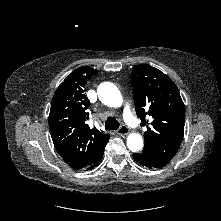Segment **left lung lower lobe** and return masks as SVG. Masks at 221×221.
<instances>
[{
	"label": "left lung lower lobe",
	"mask_w": 221,
	"mask_h": 221,
	"mask_svg": "<svg viewBox=\"0 0 221 221\" xmlns=\"http://www.w3.org/2000/svg\"><path fill=\"white\" fill-rule=\"evenodd\" d=\"M133 159L138 162L140 165L148 167V168H161L164 166L158 165L154 161H152L149 157L144 155L143 153H135L133 154Z\"/></svg>",
	"instance_id": "left-lung-lower-lobe-1"
}]
</instances>
